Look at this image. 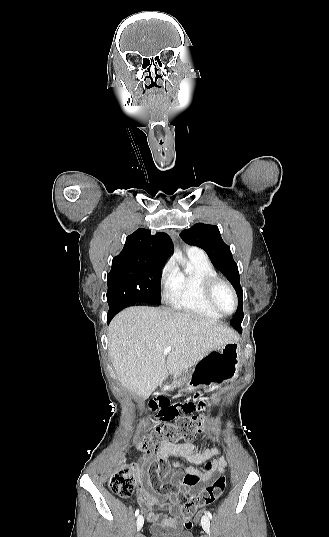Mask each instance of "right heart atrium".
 <instances>
[{
	"mask_svg": "<svg viewBox=\"0 0 329 537\" xmlns=\"http://www.w3.org/2000/svg\"><path fill=\"white\" fill-rule=\"evenodd\" d=\"M176 275L177 271L174 264L172 263V261H168L162 268L159 277L163 295L166 298L175 286Z\"/></svg>",
	"mask_w": 329,
	"mask_h": 537,
	"instance_id": "1",
	"label": "right heart atrium"
}]
</instances>
